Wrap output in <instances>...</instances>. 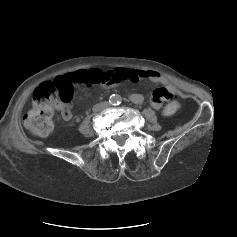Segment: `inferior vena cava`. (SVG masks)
<instances>
[{
	"label": "inferior vena cava",
	"mask_w": 237,
	"mask_h": 237,
	"mask_svg": "<svg viewBox=\"0 0 237 237\" xmlns=\"http://www.w3.org/2000/svg\"><path fill=\"white\" fill-rule=\"evenodd\" d=\"M98 106H100V104L95 105L94 108H96V107H98Z\"/></svg>",
	"instance_id": "602c4592"
}]
</instances>
